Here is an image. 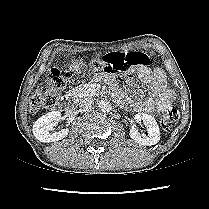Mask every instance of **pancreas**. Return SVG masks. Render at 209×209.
Wrapping results in <instances>:
<instances>
[{"mask_svg": "<svg viewBox=\"0 0 209 209\" xmlns=\"http://www.w3.org/2000/svg\"><path fill=\"white\" fill-rule=\"evenodd\" d=\"M73 93L78 99L85 96H99L102 94V92L97 90L92 84L80 85L74 89Z\"/></svg>", "mask_w": 209, "mask_h": 209, "instance_id": "pancreas-1", "label": "pancreas"}]
</instances>
